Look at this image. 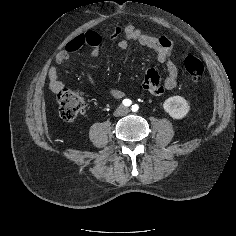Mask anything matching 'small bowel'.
<instances>
[{"label": "small bowel", "instance_id": "1", "mask_svg": "<svg viewBox=\"0 0 236 236\" xmlns=\"http://www.w3.org/2000/svg\"><path fill=\"white\" fill-rule=\"evenodd\" d=\"M121 34L123 37L117 43L120 49L128 50L132 42H138L141 47L152 50L157 60L165 64V78L162 80L157 70L148 69L142 79V88L153 96H162L166 91L174 89L177 85L179 69L171 60L174 47L172 39L167 35L149 36L131 24L125 25L123 28L115 27L110 32L109 37L116 39ZM101 41L102 35L97 31H87L78 34L68 42L64 50L56 55L55 61L57 64H62L82 49H89L90 54L96 57L99 55ZM48 79L51 91L56 93L63 87L56 67L49 68ZM87 79L93 88L98 86L91 75H88ZM108 92L115 99H121L125 95L121 89L116 87H110Z\"/></svg>", "mask_w": 236, "mask_h": 236}]
</instances>
